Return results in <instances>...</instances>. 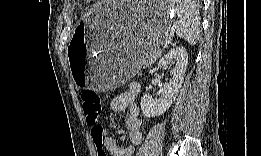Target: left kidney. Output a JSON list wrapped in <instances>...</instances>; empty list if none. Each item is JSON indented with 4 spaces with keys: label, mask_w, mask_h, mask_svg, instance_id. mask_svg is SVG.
I'll return each mask as SVG.
<instances>
[{
    "label": "left kidney",
    "mask_w": 261,
    "mask_h": 156,
    "mask_svg": "<svg viewBox=\"0 0 261 156\" xmlns=\"http://www.w3.org/2000/svg\"><path fill=\"white\" fill-rule=\"evenodd\" d=\"M177 61L171 71V79L160 89L161 96L153 99L151 95L144 94L141 98V109L146 117L162 115L172 105L179 89L182 86L188 65V54L184 47H176L164 55L158 62V69H165L171 62Z\"/></svg>",
    "instance_id": "obj_1"
}]
</instances>
